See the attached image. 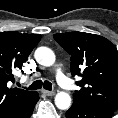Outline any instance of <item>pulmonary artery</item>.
Instances as JSON below:
<instances>
[{
	"mask_svg": "<svg viewBox=\"0 0 118 118\" xmlns=\"http://www.w3.org/2000/svg\"><path fill=\"white\" fill-rule=\"evenodd\" d=\"M55 77L58 82V84L66 89V90H72L73 89V84L70 81V79L63 73V71L60 68L56 69L55 72Z\"/></svg>",
	"mask_w": 118,
	"mask_h": 118,
	"instance_id": "obj_1",
	"label": "pulmonary artery"
}]
</instances>
